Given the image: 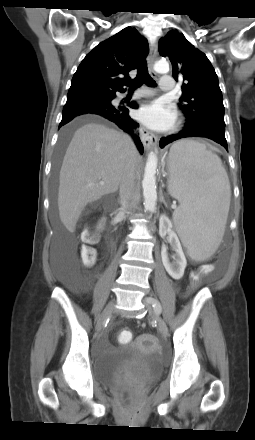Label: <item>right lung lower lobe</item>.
<instances>
[{
    "mask_svg": "<svg viewBox=\"0 0 255 440\" xmlns=\"http://www.w3.org/2000/svg\"><path fill=\"white\" fill-rule=\"evenodd\" d=\"M115 96V94H111L107 96H83L67 99L63 108L62 121L60 122L59 128L77 116L97 114L114 122L121 129L131 134L138 150L140 153H143L144 149L140 138L133 133V128L138 127L139 124L129 117V110L126 107L112 105V100ZM129 106L135 109L137 108L136 103H130Z\"/></svg>",
    "mask_w": 255,
    "mask_h": 440,
    "instance_id": "1",
    "label": "right lung lower lobe"
}]
</instances>
